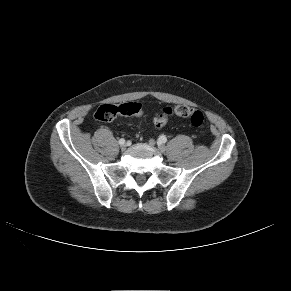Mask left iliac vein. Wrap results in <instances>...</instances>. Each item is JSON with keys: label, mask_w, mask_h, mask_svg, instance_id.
<instances>
[{"label": "left iliac vein", "mask_w": 291, "mask_h": 291, "mask_svg": "<svg viewBox=\"0 0 291 291\" xmlns=\"http://www.w3.org/2000/svg\"><path fill=\"white\" fill-rule=\"evenodd\" d=\"M158 150H159L161 153H164L165 150H166V147H165L164 145H162V144H159V145H158Z\"/></svg>", "instance_id": "obj_1"}]
</instances>
